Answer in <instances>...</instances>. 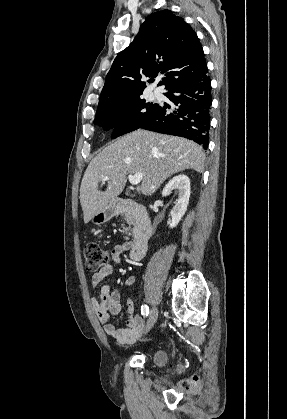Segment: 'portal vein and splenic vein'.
I'll list each match as a JSON object with an SVG mask.
<instances>
[{"label": "portal vein and splenic vein", "mask_w": 287, "mask_h": 419, "mask_svg": "<svg viewBox=\"0 0 287 419\" xmlns=\"http://www.w3.org/2000/svg\"><path fill=\"white\" fill-rule=\"evenodd\" d=\"M142 178H143V174L142 173H135V174H129L128 175L129 182L132 185H137L138 183H140L141 180H142ZM108 180H109V177L108 176H104L102 178V181L103 182L108 181Z\"/></svg>", "instance_id": "obj_1"}]
</instances>
